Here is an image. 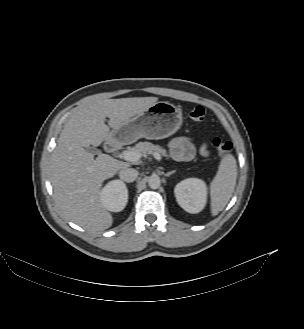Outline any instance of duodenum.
<instances>
[{"instance_id": "duodenum-1", "label": "duodenum", "mask_w": 304, "mask_h": 329, "mask_svg": "<svg viewBox=\"0 0 304 329\" xmlns=\"http://www.w3.org/2000/svg\"><path fill=\"white\" fill-rule=\"evenodd\" d=\"M105 149L108 153H116L119 150V148L112 143L106 144Z\"/></svg>"}]
</instances>
